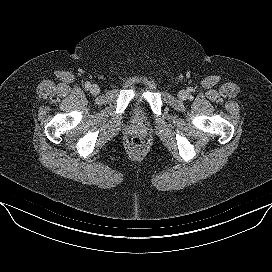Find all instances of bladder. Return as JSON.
<instances>
[{
	"mask_svg": "<svg viewBox=\"0 0 272 272\" xmlns=\"http://www.w3.org/2000/svg\"><path fill=\"white\" fill-rule=\"evenodd\" d=\"M135 113H136V117L138 118V120H141L142 118H141V116H140V108H135Z\"/></svg>",
	"mask_w": 272,
	"mask_h": 272,
	"instance_id": "bladder-1",
	"label": "bladder"
}]
</instances>
